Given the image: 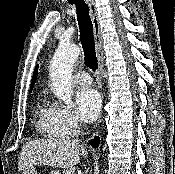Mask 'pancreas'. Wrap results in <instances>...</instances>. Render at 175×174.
<instances>
[{
	"label": "pancreas",
	"mask_w": 175,
	"mask_h": 174,
	"mask_svg": "<svg viewBox=\"0 0 175 174\" xmlns=\"http://www.w3.org/2000/svg\"><path fill=\"white\" fill-rule=\"evenodd\" d=\"M52 174V172H51ZM64 174H74V170L73 169H67L64 171Z\"/></svg>",
	"instance_id": "1"
}]
</instances>
